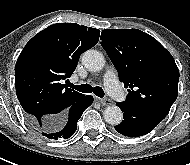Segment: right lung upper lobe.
<instances>
[{
  "instance_id": "1",
  "label": "right lung upper lobe",
  "mask_w": 190,
  "mask_h": 165,
  "mask_svg": "<svg viewBox=\"0 0 190 165\" xmlns=\"http://www.w3.org/2000/svg\"><path fill=\"white\" fill-rule=\"evenodd\" d=\"M99 36L95 28L57 23L40 31L23 48L15 66L16 94L26 116L40 128L61 118L85 97L62 83Z\"/></svg>"
}]
</instances>
